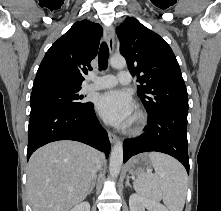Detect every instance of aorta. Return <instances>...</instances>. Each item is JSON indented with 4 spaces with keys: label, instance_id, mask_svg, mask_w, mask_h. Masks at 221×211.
Masks as SVG:
<instances>
[{
    "label": "aorta",
    "instance_id": "obj_1",
    "mask_svg": "<svg viewBox=\"0 0 221 211\" xmlns=\"http://www.w3.org/2000/svg\"><path fill=\"white\" fill-rule=\"evenodd\" d=\"M110 64L113 68L123 69L126 66V60L122 56H114L110 59ZM123 163V143L117 141L112 149L109 172L112 179L117 178L120 173Z\"/></svg>",
    "mask_w": 221,
    "mask_h": 211
}]
</instances>
